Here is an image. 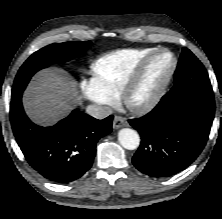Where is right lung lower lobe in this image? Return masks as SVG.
<instances>
[{
  "mask_svg": "<svg viewBox=\"0 0 222 219\" xmlns=\"http://www.w3.org/2000/svg\"><path fill=\"white\" fill-rule=\"evenodd\" d=\"M10 120L27 162L46 179L70 183L92 166L97 141L109 134L113 116L97 120L74 110L51 127L32 123L22 107V94L12 96Z\"/></svg>",
  "mask_w": 222,
  "mask_h": 219,
  "instance_id": "obj_1",
  "label": "right lung lower lobe"
}]
</instances>
